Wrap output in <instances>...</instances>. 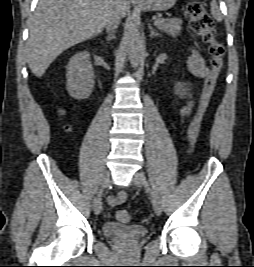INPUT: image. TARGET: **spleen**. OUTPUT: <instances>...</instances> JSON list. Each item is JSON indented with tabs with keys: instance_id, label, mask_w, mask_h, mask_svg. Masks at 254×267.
Instances as JSON below:
<instances>
[{
	"instance_id": "3e777b00",
	"label": "spleen",
	"mask_w": 254,
	"mask_h": 267,
	"mask_svg": "<svg viewBox=\"0 0 254 267\" xmlns=\"http://www.w3.org/2000/svg\"><path fill=\"white\" fill-rule=\"evenodd\" d=\"M210 5H211V14L217 21L220 22L222 20V14L220 13L216 0H212Z\"/></svg>"
}]
</instances>
